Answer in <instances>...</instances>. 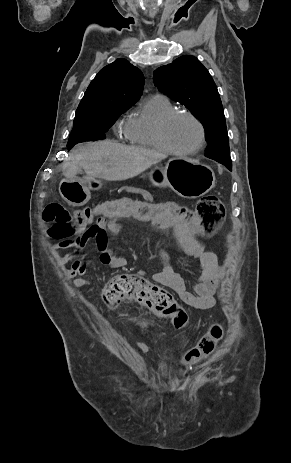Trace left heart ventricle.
Wrapping results in <instances>:
<instances>
[{
	"label": "left heart ventricle",
	"instance_id": "obj_1",
	"mask_svg": "<svg viewBox=\"0 0 291 463\" xmlns=\"http://www.w3.org/2000/svg\"><path fill=\"white\" fill-rule=\"evenodd\" d=\"M200 137V131L194 121L185 116L173 119L167 128V138L177 149L185 150L194 147Z\"/></svg>",
	"mask_w": 291,
	"mask_h": 463
}]
</instances>
